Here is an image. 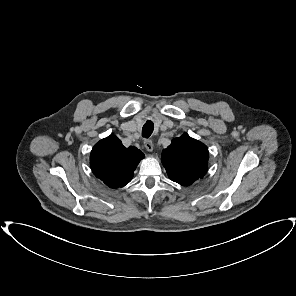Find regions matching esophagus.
<instances>
[{"instance_id":"1","label":"esophagus","mask_w":296,"mask_h":296,"mask_svg":"<svg viewBox=\"0 0 296 296\" xmlns=\"http://www.w3.org/2000/svg\"><path fill=\"white\" fill-rule=\"evenodd\" d=\"M144 147L146 148L147 151L151 152L153 150V143L151 140L146 139L144 141Z\"/></svg>"}]
</instances>
